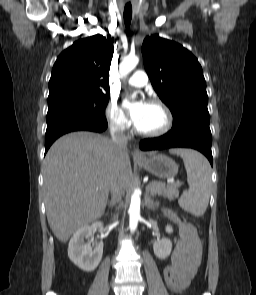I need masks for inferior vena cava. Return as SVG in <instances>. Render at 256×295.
Wrapping results in <instances>:
<instances>
[{
  "mask_svg": "<svg viewBox=\"0 0 256 295\" xmlns=\"http://www.w3.org/2000/svg\"><path fill=\"white\" fill-rule=\"evenodd\" d=\"M124 130L125 128L123 124H117L115 122H112L110 124L111 139L112 142L115 144L117 150L127 148V138L125 136ZM112 176L113 177L110 184L111 206H114L121 201L122 196L124 194V188L119 179L120 172L112 171Z\"/></svg>",
  "mask_w": 256,
  "mask_h": 295,
  "instance_id": "obj_1",
  "label": "inferior vena cava"
}]
</instances>
